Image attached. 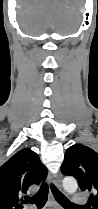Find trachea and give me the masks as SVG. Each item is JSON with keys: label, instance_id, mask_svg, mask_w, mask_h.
Wrapping results in <instances>:
<instances>
[{"label": "trachea", "instance_id": "obj_1", "mask_svg": "<svg viewBox=\"0 0 98 209\" xmlns=\"http://www.w3.org/2000/svg\"><path fill=\"white\" fill-rule=\"evenodd\" d=\"M51 190L57 202L63 207H74L76 206L68 198H66L55 186L51 185ZM49 192V186L47 183H42L37 194L32 197H28L25 200V203L36 204L38 209H41L47 202Z\"/></svg>", "mask_w": 98, "mask_h": 209}]
</instances>
